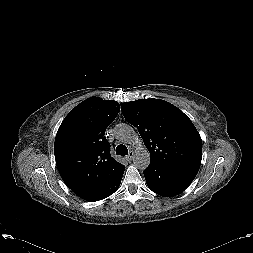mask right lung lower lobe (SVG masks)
<instances>
[{"label": "right lung lower lobe", "instance_id": "right-lung-lower-lobe-1", "mask_svg": "<svg viewBox=\"0 0 253 253\" xmlns=\"http://www.w3.org/2000/svg\"><path fill=\"white\" fill-rule=\"evenodd\" d=\"M123 176V175H122ZM122 176L119 177L114 183H112L109 187H107L106 189L98 192L97 194H95L93 197H91L88 201L90 202H95V201H99L102 200L108 196H110L111 194H113L118 188L119 185L121 183V179Z\"/></svg>", "mask_w": 253, "mask_h": 253}]
</instances>
